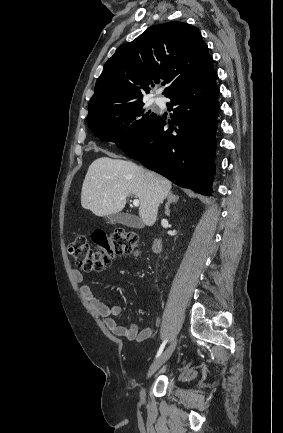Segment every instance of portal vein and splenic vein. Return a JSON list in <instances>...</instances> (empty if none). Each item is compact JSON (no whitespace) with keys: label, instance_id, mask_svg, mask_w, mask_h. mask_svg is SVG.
Here are the masks:
<instances>
[{"label":"portal vein and splenic vein","instance_id":"obj_1","mask_svg":"<svg viewBox=\"0 0 283 433\" xmlns=\"http://www.w3.org/2000/svg\"><path fill=\"white\" fill-rule=\"evenodd\" d=\"M133 204H134V206H139L140 200H138V198H134Z\"/></svg>","mask_w":283,"mask_h":433}]
</instances>
